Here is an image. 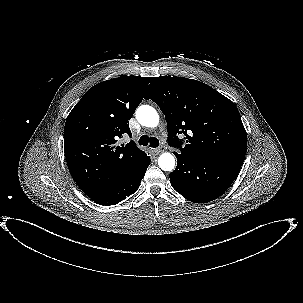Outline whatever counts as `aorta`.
I'll return each mask as SVG.
<instances>
[{"label":"aorta","instance_id":"762f6f07","mask_svg":"<svg viewBox=\"0 0 303 303\" xmlns=\"http://www.w3.org/2000/svg\"><path fill=\"white\" fill-rule=\"evenodd\" d=\"M135 114L137 121L142 126L154 128L159 124L157 111L149 105L139 106ZM158 165L163 171H172L175 167V158L171 153L165 152L159 156Z\"/></svg>","mask_w":303,"mask_h":303}]
</instances>
